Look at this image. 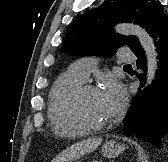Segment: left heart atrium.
<instances>
[{
	"instance_id": "1",
	"label": "left heart atrium",
	"mask_w": 168,
	"mask_h": 162,
	"mask_svg": "<svg viewBox=\"0 0 168 162\" xmlns=\"http://www.w3.org/2000/svg\"><path fill=\"white\" fill-rule=\"evenodd\" d=\"M100 96L109 118L122 109L126 100L123 87L113 79L106 81L104 88L100 91Z\"/></svg>"
}]
</instances>
